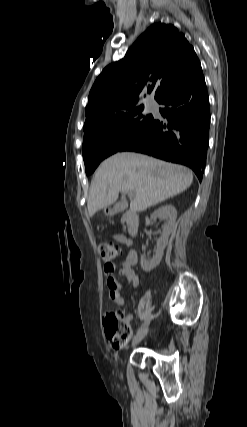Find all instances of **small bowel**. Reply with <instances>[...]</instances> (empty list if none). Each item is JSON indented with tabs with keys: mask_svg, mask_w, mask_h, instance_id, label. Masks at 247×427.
<instances>
[{
	"mask_svg": "<svg viewBox=\"0 0 247 427\" xmlns=\"http://www.w3.org/2000/svg\"><path fill=\"white\" fill-rule=\"evenodd\" d=\"M116 240L122 244L130 246V241L124 236H116ZM138 256L135 250L131 249L125 260L122 262L121 267L118 269V274L124 277L127 282L132 286V288H137L139 285V275L133 269L137 264ZM116 265L114 263H106L104 265V273L107 278V286L109 290V297L111 301L118 305L122 306L124 304V297L122 296V285L115 277ZM133 319L131 314L125 317V320L130 323Z\"/></svg>",
	"mask_w": 247,
	"mask_h": 427,
	"instance_id": "obj_1",
	"label": "small bowel"
}]
</instances>
